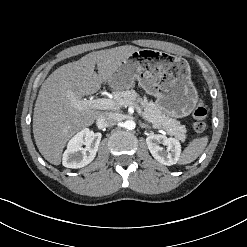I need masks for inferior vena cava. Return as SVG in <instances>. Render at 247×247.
<instances>
[{
  "mask_svg": "<svg viewBox=\"0 0 247 247\" xmlns=\"http://www.w3.org/2000/svg\"><path fill=\"white\" fill-rule=\"evenodd\" d=\"M118 121V115L112 112H104L97 118V125L101 128L114 125Z\"/></svg>",
  "mask_w": 247,
  "mask_h": 247,
  "instance_id": "1",
  "label": "inferior vena cava"
}]
</instances>
